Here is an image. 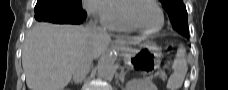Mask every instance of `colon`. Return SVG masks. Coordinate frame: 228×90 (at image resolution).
Here are the masks:
<instances>
[{
    "mask_svg": "<svg viewBox=\"0 0 228 90\" xmlns=\"http://www.w3.org/2000/svg\"><path fill=\"white\" fill-rule=\"evenodd\" d=\"M169 49L172 50V45L169 46Z\"/></svg>",
    "mask_w": 228,
    "mask_h": 90,
    "instance_id": "1",
    "label": "colon"
}]
</instances>
